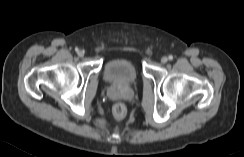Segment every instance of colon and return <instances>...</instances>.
<instances>
[{
  "label": "colon",
  "instance_id": "colon-1",
  "mask_svg": "<svg viewBox=\"0 0 244 157\" xmlns=\"http://www.w3.org/2000/svg\"><path fill=\"white\" fill-rule=\"evenodd\" d=\"M112 112H113V116L117 119V120H121L125 117L126 115V106L121 103V102H118L116 103L114 106H113V109H112Z\"/></svg>",
  "mask_w": 244,
  "mask_h": 157
}]
</instances>
